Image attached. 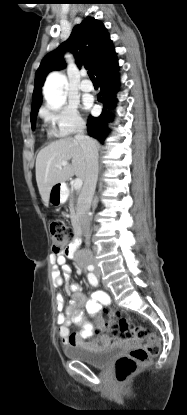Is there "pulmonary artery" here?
Wrapping results in <instances>:
<instances>
[{
  "mask_svg": "<svg viewBox=\"0 0 187 415\" xmlns=\"http://www.w3.org/2000/svg\"><path fill=\"white\" fill-rule=\"evenodd\" d=\"M82 76H83V77H85V76H86V74H85V73H83V74H82ZM79 88H80V90H81V91H83V92H90V91H92V90H93V85H92V84H91L88 80L84 79V80L80 83Z\"/></svg>",
  "mask_w": 187,
  "mask_h": 415,
  "instance_id": "pulmonary-artery-1",
  "label": "pulmonary artery"
}]
</instances>
